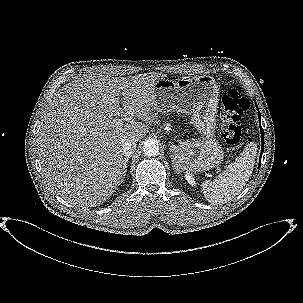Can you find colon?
Masks as SVG:
<instances>
[{
	"instance_id": "colon-1",
	"label": "colon",
	"mask_w": 303,
	"mask_h": 303,
	"mask_svg": "<svg viewBox=\"0 0 303 303\" xmlns=\"http://www.w3.org/2000/svg\"><path fill=\"white\" fill-rule=\"evenodd\" d=\"M249 109L247 98L235 90L227 91L222 98L220 112V133L230 145H237L241 140V116Z\"/></svg>"
}]
</instances>
